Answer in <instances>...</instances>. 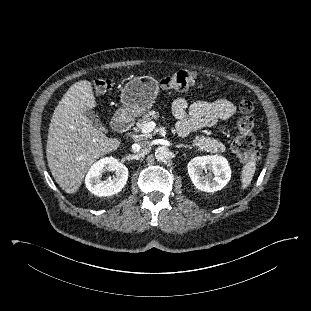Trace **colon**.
I'll list each match as a JSON object with an SVG mask.
<instances>
[{
    "label": "colon",
    "instance_id": "1",
    "mask_svg": "<svg viewBox=\"0 0 311 311\" xmlns=\"http://www.w3.org/2000/svg\"><path fill=\"white\" fill-rule=\"evenodd\" d=\"M197 75L191 71H178L161 79L160 85L164 90L183 91L196 83ZM113 84L110 80H96L93 89L97 94H105L110 91ZM240 117L236 120L235 128L237 136L232 141L233 151L242 161H257L261 156L263 142L258 140L253 130L255 120L252 116L253 104L245 97H240L238 106Z\"/></svg>",
    "mask_w": 311,
    "mask_h": 311
}]
</instances>
